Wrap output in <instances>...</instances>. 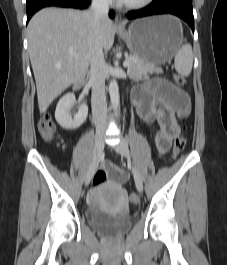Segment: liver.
<instances>
[{"instance_id": "6515ba94", "label": "liver", "mask_w": 227, "mask_h": 265, "mask_svg": "<svg viewBox=\"0 0 227 265\" xmlns=\"http://www.w3.org/2000/svg\"><path fill=\"white\" fill-rule=\"evenodd\" d=\"M27 31L40 113L86 75L96 42L107 52L115 37L113 22H96L90 10L42 9L31 18Z\"/></svg>"}]
</instances>
